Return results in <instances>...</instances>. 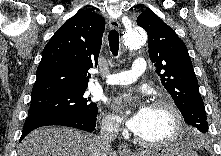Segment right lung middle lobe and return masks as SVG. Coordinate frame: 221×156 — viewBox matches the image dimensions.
<instances>
[{
  "label": "right lung middle lobe",
  "mask_w": 221,
  "mask_h": 156,
  "mask_svg": "<svg viewBox=\"0 0 221 156\" xmlns=\"http://www.w3.org/2000/svg\"><path fill=\"white\" fill-rule=\"evenodd\" d=\"M86 89L59 92L31 100L28 115L97 116V104Z\"/></svg>",
  "instance_id": "1"
}]
</instances>
